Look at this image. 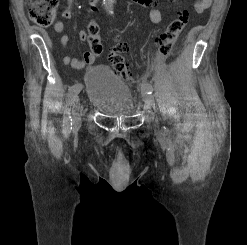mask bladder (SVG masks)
Listing matches in <instances>:
<instances>
[{
  "mask_svg": "<svg viewBox=\"0 0 247 245\" xmlns=\"http://www.w3.org/2000/svg\"><path fill=\"white\" fill-rule=\"evenodd\" d=\"M85 83L90 104L100 112L111 116H128L135 112V100L130 87L110 68H88Z\"/></svg>",
  "mask_w": 247,
  "mask_h": 245,
  "instance_id": "1",
  "label": "bladder"
}]
</instances>
